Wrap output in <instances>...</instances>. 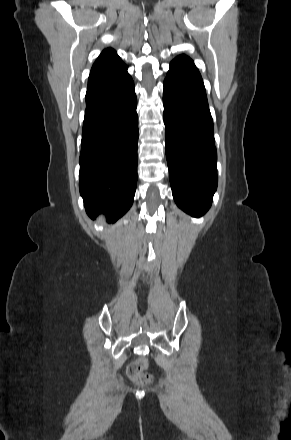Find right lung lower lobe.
Listing matches in <instances>:
<instances>
[{"label": "right lung lower lobe", "mask_w": 291, "mask_h": 440, "mask_svg": "<svg viewBox=\"0 0 291 440\" xmlns=\"http://www.w3.org/2000/svg\"><path fill=\"white\" fill-rule=\"evenodd\" d=\"M80 152V194L87 214L115 222L131 207L137 186L138 115L127 66L91 74Z\"/></svg>", "instance_id": "obj_1"}]
</instances>
